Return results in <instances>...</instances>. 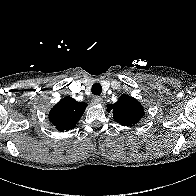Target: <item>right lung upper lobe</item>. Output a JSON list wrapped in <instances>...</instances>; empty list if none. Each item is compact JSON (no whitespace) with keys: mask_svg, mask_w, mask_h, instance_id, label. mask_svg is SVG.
<instances>
[{"mask_svg":"<svg viewBox=\"0 0 196 196\" xmlns=\"http://www.w3.org/2000/svg\"><path fill=\"white\" fill-rule=\"evenodd\" d=\"M86 106L87 104L77 102L71 97H64L51 109L49 120L57 130L69 131L75 128Z\"/></svg>","mask_w":196,"mask_h":196,"instance_id":"obj_1","label":"right lung upper lobe"}]
</instances>
